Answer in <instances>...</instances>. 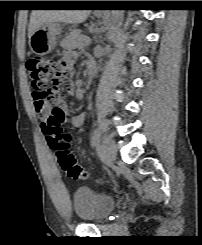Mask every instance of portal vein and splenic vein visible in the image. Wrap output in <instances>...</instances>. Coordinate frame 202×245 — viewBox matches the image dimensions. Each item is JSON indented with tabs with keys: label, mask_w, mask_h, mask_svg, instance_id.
Wrapping results in <instances>:
<instances>
[{
	"label": "portal vein and splenic vein",
	"mask_w": 202,
	"mask_h": 245,
	"mask_svg": "<svg viewBox=\"0 0 202 245\" xmlns=\"http://www.w3.org/2000/svg\"><path fill=\"white\" fill-rule=\"evenodd\" d=\"M85 43H90V39L89 38H86L85 39Z\"/></svg>",
	"instance_id": "obj_1"
}]
</instances>
